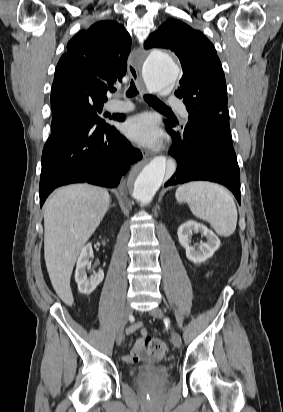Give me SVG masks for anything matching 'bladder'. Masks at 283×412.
<instances>
[{
	"label": "bladder",
	"mask_w": 283,
	"mask_h": 412,
	"mask_svg": "<svg viewBox=\"0 0 283 412\" xmlns=\"http://www.w3.org/2000/svg\"><path fill=\"white\" fill-rule=\"evenodd\" d=\"M142 369H143V367H136V368L131 369L129 371L130 377H132V378L135 377Z\"/></svg>",
	"instance_id": "1"
}]
</instances>
